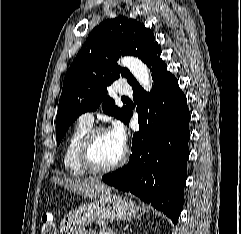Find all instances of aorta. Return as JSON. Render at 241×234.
Masks as SVG:
<instances>
[{"label": "aorta", "instance_id": "obj_1", "mask_svg": "<svg viewBox=\"0 0 241 234\" xmlns=\"http://www.w3.org/2000/svg\"><path fill=\"white\" fill-rule=\"evenodd\" d=\"M120 65L129 69L141 86L149 91L152 79L148 67L138 58L125 56L120 59Z\"/></svg>", "mask_w": 241, "mask_h": 234}]
</instances>
